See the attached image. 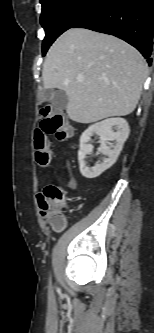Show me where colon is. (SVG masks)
<instances>
[{
	"mask_svg": "<svg viewBox=\"0 0 154 333\" xmlns=\"http://www.w3.org/2000/svg\"><path fill=\"white\" fill-rule=\"evenodd\" d=\"M73 134V129L66 118L60 113L45 114L40 126L35 130L33 144L35 161L40 168H46L51 162V150L47 136L53 135L58 140H66ZM37 202L43 217H46L54 229H61L65 225L62 214L65 205V193L56 185H48L38 194Z\"/></svg>",
	"mask_w": 154,
	"mask_h": 333,
	"instance_id": "colon-1",
	"label": "colon"
}]
</instances>
